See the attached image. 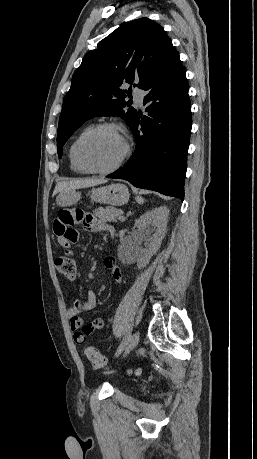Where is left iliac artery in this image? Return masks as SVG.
<instances>
[{"label": "left iliac artery", "mask_w": 257, "mask_h": 459, "mask_svg": "<svg viewBox=\"0 0 257 459\" xmlns=\"http://www.w3.org/2000/svg\"><path fill=\"white\" fill-rule=\"evenodd\" d=\"M128 340H129V336H126V337L122 340V342L120 343V345H119V347H118V349H117V351H116V354H115L116 356L119 355V354L123 351V349H124V347L126 346Z\"/></svg>", "instance_id": "left-iliac-artery-1"}]
</instances>
